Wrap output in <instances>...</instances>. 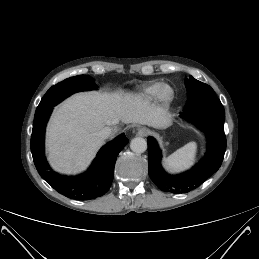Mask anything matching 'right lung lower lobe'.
Masks as SVG:
<instances>
[{
    "instance_id": "right-lung-lower-lobe-1",
    "label": "right lung lower lobe",
    "mask_w": 259,
    "mask_h": 259,
    "mask_svg": "<svg viewBox=\"0 0 259 259\" xmlns=\"http://www.w3.org/2000/svg\"><path fill=\"white\" fill-rule=\"evenodd\" d=\"M53 107L35 113L31 136V152L40 176L56 191L75 200H91L104 195L114 177L116 158L128 139L123 134L107 143L98 152L91 167L77 177L60 176L52 171L44 154L45 127Z\"/></svg>"
}]
</instances>
